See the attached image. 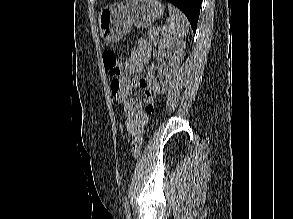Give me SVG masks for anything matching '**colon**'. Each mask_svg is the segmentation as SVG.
Here are the masks:
<instances>
[{
	"label": "colon",
	"mask_w": 293,
	"mask_h": 219,
	"mask_svg": "<svg viewBox=\"0 0 293 219\" xmlns=\"http://www.w3.org/2000/svg\"><path fill=\"white\" fill-rule=\"evenodd\" d=\"M103 63H104V67L109 75L115 77L120 74V69H121L120 63H119V60L114 52L105 51L103 53ZM112 88L114 90H117V88H118V84L115 80L112 81ZM147 110L150 113H152L154 111V109L152 107H148ZM142 144H143L142 136L141 135L136 136L132 142V156H133V158L136 159L139 157V155L141 153V149H142Z\"/></svg>",
	"instance_id": "colon-1"
}]
</instances>
